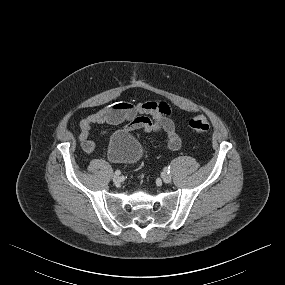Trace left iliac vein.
Segmentation results:
<instances>
[{"mask_svg": "<svg viewBox=\"0 0 285 285\" xmlns=\"http://www.w3.org/2000/svg\"><path fill=\"white\" fill-rule=\"evenodd\" d=\"M162 180H163L164 183H170L172 181V178H171L170 175L165 174V175L162 176Z\"/></svg>", "mask_w": 285, "mask_h": 285, "instance_id": "obj_1", "label": "left iliac vein"}]
</instances>
